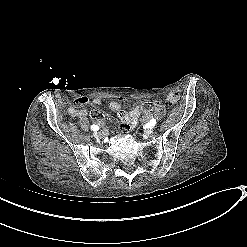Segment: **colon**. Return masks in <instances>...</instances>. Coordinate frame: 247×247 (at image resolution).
<instances>
[{
	"instance_id": "obj_1",
	"label": "colon",
	"mask_w": 247,
	"mask_h": 247,
	"mask_svg": "<svg viewBox=\"0 0 247 247\" xmlns=\"http://www.w3.org/2000/svg\"><path fill=\"white\" fill-rule=\"evenodd\" d=\"M163 107H164V104L159 101H145L142 104V109L145 112L161 111Z\"/></svg>"
}]
</instances>
